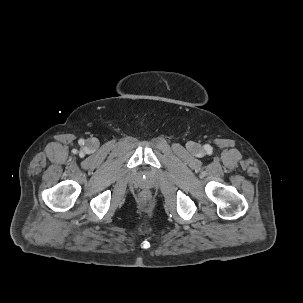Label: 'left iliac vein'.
Masks as SVG:
<instances>
[{"label":"left iliac vein","mask_w":303,"mask_h":303,"mask_svg":"<svg viewBox=\"0 0 303 303\" xmlns=\"http://www.w3.org/2000/svg\"><path fill=\"white\" fill-rule=\"evenodd\" d=\"M201 151V147L199 146V145H194L193 146V152L194 153H198V152H200Z\"/></svg>","instance_id":"4c4485c4"}]
</instances>
